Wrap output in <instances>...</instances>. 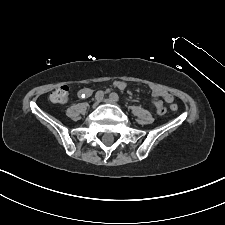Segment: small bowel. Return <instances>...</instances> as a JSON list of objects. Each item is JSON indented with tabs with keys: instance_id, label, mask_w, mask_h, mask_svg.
<instances>
[{
	"instance_id": "1",
	"label": "small bowel",
	"mask_w": 225,
	"mask_h": 225,
	"mask_svg": "<svg viewBox=\"0 0 225 225\" xmlns=\"http://www.w3.org/2000/svg\"><path fill=\"white\" fill-rule=\"evenodd\" d=\"M114 86L120 90H123L126 88L127 84L125 81L119 80L114 82ZM80 94L88 96L91 94V90L89 88H83L80 90ZM151 100L155 107L158 108L159 106H163V103L171 104L173 102V96L160 87H152Z\"/></svg>"
}]
</instances>
